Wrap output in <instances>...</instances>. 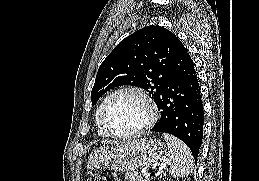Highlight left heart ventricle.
<instances>
[{
  "instance_id": "obj_1",
  "label": "left heart ventricle",
  "mask_w": 259,
  "mask_h": 181,
  "mask_svg": "<svg viewBox=\"0 0 259 181\" xmlns=\"http://www.w3.org/2000/svg\"><path fill=\"white\" fill-rule=\"evenodd\" d=\"M148 108L134 93H122L115 97L106 111L108 127L115 133L123 134L140 128L148 118Z\"/></svg>"
}]
</instances>
